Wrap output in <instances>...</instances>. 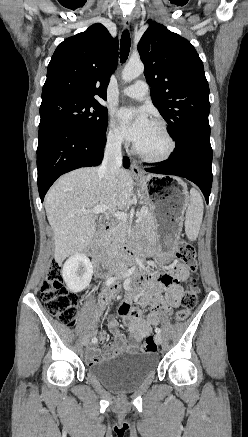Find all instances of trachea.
<instances>
[{"instance_id":"trachea-1","label":"trachea","mask_w":248,"mask_h":437,"mask_svg":"<svg viewBox=\"0 0 248 437\" xmlns=\"http://www.w3.org/2000/svg\"><path fill=\"white\" fill-rule=\"evenodd\" d=\"M130 34L128 30H124L120 41V61L124 63L130 52Z\"/></svg>"}]
</instances>
